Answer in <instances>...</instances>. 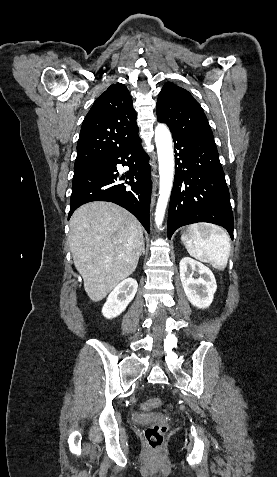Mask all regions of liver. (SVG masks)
I'll use <instances>...</instances> for the list:
<instances>
[{"mask_svg": "<svg viewBox=\"0 0 277 477\" xmlns=\"http://www.w3.org/2000/svg\"><path fill=\"white\" fill-rule=\"evenodd\" d=\"M69 225L70 249L84 289L92 301H101L136 269L142 225L124 208L103 201L79 207Z\"/></svg>", "mask_w": 277, "mask_h": 477, "instance_id": "1", "label": "liver"}]
</instances>
